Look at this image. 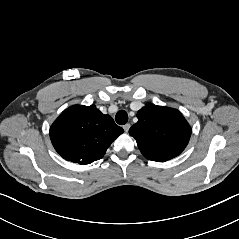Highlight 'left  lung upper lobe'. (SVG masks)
I'll list each match as a JSON object with an SVG mask.
<instances>
[{
    "instance_id": "obj_1",
    "label": "left lung upper lobe",
    "mask_w": 239,
    "mask_h": 239,
    "mask_svg": "<svg viewBox=\"0 0 239 239\" xmlns=\"http://www.w3.org/2000/svg\"><path fill=\"white\" fill-rule=\"evenodd\" d=\"M137 118L129 134L147 159L165 162L187 146L191 127L178 110L147 103L138 111Z\"/></svg>"
}]
</instances>
